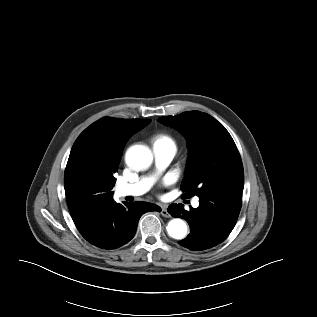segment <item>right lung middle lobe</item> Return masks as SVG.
<instances>
[{
    "label": "right lung middle lobe",
    "mask_w": 317,
    "mask_h": 317,
    "mask_svg": "<svg viewBox=\"0 0 317 317\" xmlns=\"http://www.w3.org/2000/svg\"><path fill=\"white\" fill-rule=\"evenodd\" d=\"M65 192L80 194L83 198L90 197L93 200L111 198V191L115 185V179L104 178L99 172L77 167L65 176Z\"/></svg>",
    "instance_id": "1"
}]
</instances>
